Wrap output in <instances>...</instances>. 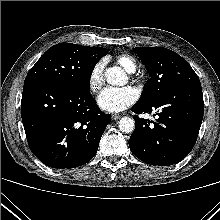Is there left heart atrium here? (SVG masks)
<instances>
[{"instance_id":"left-heart-atrium-1","label":"left heart atrium","mask_w":220,"mask_h":220,"mask_svg":"<svg viewBox=\"0 0 220 220\" xmlns=\"http://www.w3.org/2000/svg\"><path fill=\"white\" fill-rule=\"evenodd\" d=\"M138 99V92L131 86L106 87L97 97L98 106L107 112L124 111Z\"/></svg>"}]
</instances>
